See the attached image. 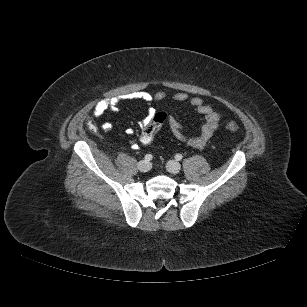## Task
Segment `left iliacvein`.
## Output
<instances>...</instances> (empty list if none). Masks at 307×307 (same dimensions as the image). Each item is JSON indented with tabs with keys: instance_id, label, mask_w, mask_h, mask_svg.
<instances>
[{
	"instance_id": "left-iliac-vein-1",
	"label": "left iliac vein",
	"mask_w": 307,
	"mask_h": 307,
	"mask_svg": "<svg viewBox=\"0 0 307 307\" xmlns=\"http://www.w3.org/2000/svg\"><path fill=\"white\" fill-rule=\"evenodd\" d=\"M166 169L172 174H177L181 170V165L175 160H170L166 163Z\"/></svg>"
}]
</instances>
